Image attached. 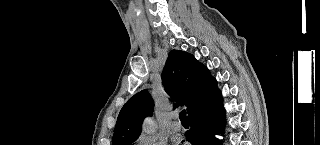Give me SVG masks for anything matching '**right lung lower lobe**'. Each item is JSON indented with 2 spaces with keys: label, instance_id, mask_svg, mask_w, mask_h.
<instances>
[{
  "label": "right lung lower lobe",
  "instance_id": "obj_1",
  "mask_svg": "<svg viewBox=\"0 0 320 145\" xmlns=\"http://www.w3.org/2000/svg\"><path fill=\"white\" fill-rule=\"evenodd\" d=\"M224 115L222 96L214 79L204 103L188 114L190 130L186 140L192 145H220L215 134L223 130Z\"/></svg>",
  "mask_w": 320,
  "mask_h": 145
}]
</instances>
